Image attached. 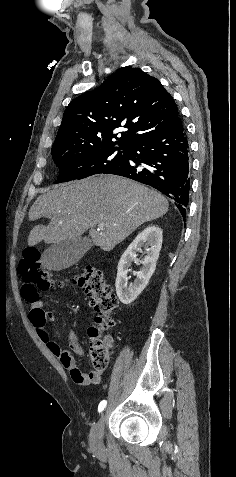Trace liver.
Wrapping results in <instances>:
<instances>
[{"label": "liver", "mask_w": 236, "mask_h": 477, "mask_svg": "<svg viewBox=\"0 0 236 477\" xmlns=\"http://www.w3.org/2000/svg\"><path fill=\"white\" fill-rule=\"evenodd\" d=\"M168 207L155 190L119 176L98 175L58 185L30 208L31 221L45 217L50 223L35 226L28 245L55 244L89 230L93 244L109 252L143 223L165 215ZM99 224L103 227L96 230Z\"/></svg>", "instance_id": "liver-1"}]
</instances>
